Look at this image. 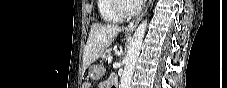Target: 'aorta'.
Masks as SVG:
<instances>
[{"label": "aorta", "mask_w": 227, "mask_h": 88, "mask_svg": "<svg viewBox=\"0 0 227 88\" xmlns=\"http://www.w3.org/2000/svg\"><path fill=\"white\" fill-rule=\"evenodd\" d=\"M147 28V20L143 21L136 29L127 51L125 58V67L120 80L119 88H129L133 76L135 65L137 63L145 31Z\"/></svg>", "instance_id": "1"}]
</instances>
